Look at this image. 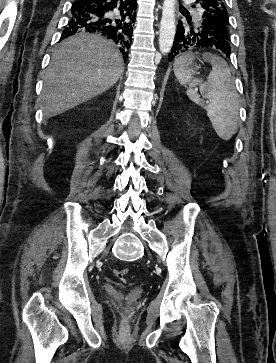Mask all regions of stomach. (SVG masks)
Listing matches in <instances>:
<instances>
[{"label":"stomach","instance_id":"1","mask_svg":"<svg viewBox=\"0 0 276 363\" xmlns=\"http://www.w3.org/2000/svg\"><path fill=\"white\" fill-rule=\"evenodd\" d=\"M186 68L190 71L191 75L195 74L197 69L199 68V66L197 65H193L192 62H190L189 64H187Z\"/></svg>","mask_w":276,"mask_h":363}]
</instances>
